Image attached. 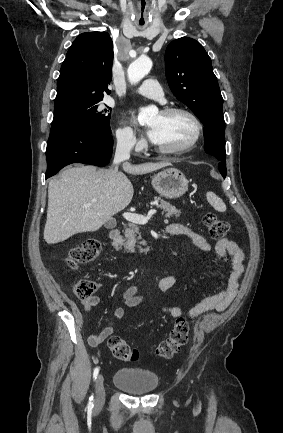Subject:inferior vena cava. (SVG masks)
<instances>
[{
	"instance_id": "obj_1",
	"label": "inferior vena cava",
	"mask_w": 283,
	"mask_h": 433,
	"mask_svg": "<svg viewBox=\"0 0 283 433\" xmlns=\"http://www.w3.org/2000/svg\"><path fill=\"white\" fill-rule=\"evenodd\" d=\"M132 146L133 144L130 138H126V140H118L114 156V164H118V162H122V160H128V158H130V150Z\"/></svg>"
}]
</instances>
